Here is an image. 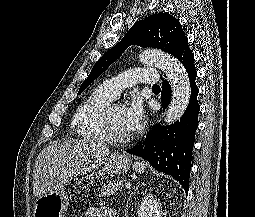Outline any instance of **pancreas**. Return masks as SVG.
<instances>
[{
  "label": "pancreas",
  "instance_id": "pancreas-1",
  "mask_svg": "<svg viewBox=\"0 0 255 217\" xmlns=\"http://www.w3.org/2000/svg\"><path fill=\"white\" fill-rule=\"evenodd\" d=\"M122 185V180H114L108 182L107 185H104L100 189L99 197H109L110 195H113L116 191L120 190Z\"/></svg>",
  "mask_w": 255,
  "mask_h": 217
}]
</instances>
